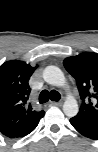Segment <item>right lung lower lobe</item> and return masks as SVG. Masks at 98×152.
Masks as SVG:
<instances>
[{"instance_id": "1", "label": "right lung lower lobe", "mask_w": 98, "mask_h": 152, "mask_svg": "<svg viewBox=\"0 0 98 152\" xmlns=\"http://www.w3.org/2000/svg\"><path fill=\"white\" fill-rule=\"evenodd\" d=\"M43 117V116H42ZM41 117V118H42ZM39 118L37 121H35L32 125H30L27 129L23 130L21 133H19L18 135H16L13 138H19V137H24L26 135H28L29 133H31L38 125L39 120L41 119Z\"/></svg>"}]
</instances>
